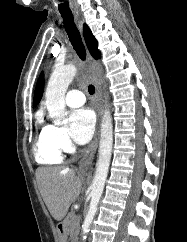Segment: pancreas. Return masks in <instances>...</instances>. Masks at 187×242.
I'll return each mask as SVG.
<instances>
[{"mask_svg": "<svg viewBox=\"0 0 187 242\" xmlns=\"http://www.w3.org/2000/svg\"><path fill=\"white\" fill-rule=\"evenodd\" d=\"M64 225L66 226L69 235L74 237L75 241L80 229V217L72 211L64 220Z\"/></svg>", "mask_w": 187, "mask_h": 242, "instance_id": "obj_1", "label": "pancreas"}]
</instances>
